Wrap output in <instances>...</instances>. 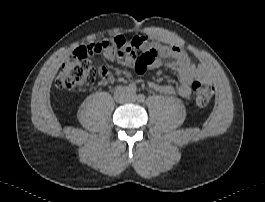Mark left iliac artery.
<instances>
[{
	"label": "left iliac artery",
	"instance_id": "1",
	"mask_svg": "<svg viewBox=\"0 0 265 202\" xmlns=\"http://www.w3.org/2000/svg\"><path fill=\"white\" fill-rule=\"evenodd\" d=\"M136 99H137L138 102H144L145 101V96L143 94H139L136 97Z\"/></svg>",
	"mask_w": 265,
	"mask_h": 202
}]
</instances>
